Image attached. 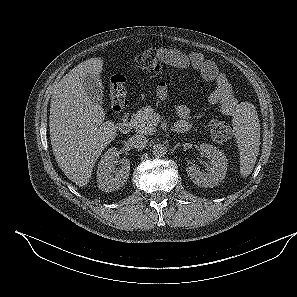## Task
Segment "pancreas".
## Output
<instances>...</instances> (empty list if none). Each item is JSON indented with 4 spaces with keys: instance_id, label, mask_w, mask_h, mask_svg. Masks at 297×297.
Segmentation results:
<instances>
[{
    "instance_id": "1",
    "label": "pancreas",
    "mask_w": 297,
    "mask_h": 297,
    "mask_svg": "<svg viewBox=\"0 0 297 297\" xmlns=\"http://www.w3.org/2000/svg\"><path fill=\"white\" fill-rule=\"evenodd\" d=\"M156 113L150 106L141 108L134 114L131 124L137 133L152 135L156 132L155 125L157 121L155 120Z\"/></svg>"
}]
</instances>
